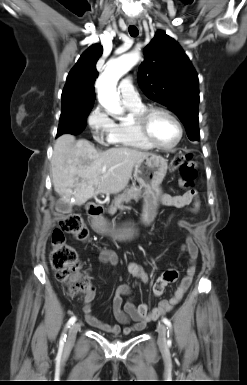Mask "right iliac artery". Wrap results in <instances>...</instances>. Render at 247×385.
Wrapping results in <instances>:
<instances>
[{
    "label": "right iliac artery",
    "instance_id": "82829eb1",
    "mask_svg": "<svg viewBox=\"0 0 247 385\" xmlns=\"http://www.w3.org/2000/svg\"><path fill=\"white\" fill-rule=\"evenodd\" d=\"M75 321H76V317L75 316L71 317L67 322L66 329L69 328L71 325H73ZM65 341H66V334L63 333L60 339V344L63 345Z\"/></svg>",
    "mask_w": 247,
    "mask_h": 385
}]
</instances>
